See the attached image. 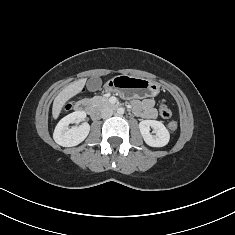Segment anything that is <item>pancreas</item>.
Listing matches in <instances>:
<instances>
[{"label":"pancreas","instance_id":"obj_1","mask_svg":"<svg viewBox=\"0 0 235 235\" xmlns=\"http://www.w3.org/2000/svg\"><path fill=\"white\" fill-rule=\"evenodd\" d=\"M92 103L96 106L105 107L110 105L108 98L105 96H95L92 98Z\"/></svg>","mask_w":235,"mask_h":235}]
</instances>
